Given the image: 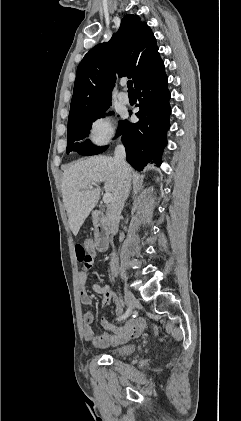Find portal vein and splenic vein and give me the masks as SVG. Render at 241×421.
Returning a JSON list of instances; mask_svg holds the SVG:
<instances>
[{"mask_svg": "<svg viewBox=\"0 0 241 421\" xmlns=\"http://www.w3.org/2000/svg\"><path fill=\"white\" fill-rule=\"evenodd\" d=\"M90 188L92 189V188H93V186H90ZM80 194H82V193H80ZM111 200H112V195H111L110 193H106V194H104V196H103V202H104L105 204L110 203V202H111Z\"/></svg>", "mask_w": 241, "mask_h": 421, "instance_id": "1", "label": "portal vein and splenic vein"}]
</instances>
